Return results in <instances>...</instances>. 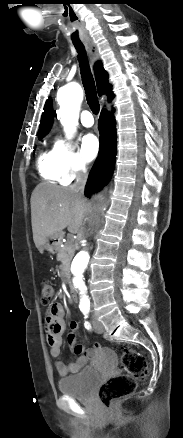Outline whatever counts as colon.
Masks as SVG:
<instances>
[{"label": "colon", "instance_id": "5ec220e1", "mask_svg": "<svg viewBox=\"0 0 183 438\" xmlns=\"http://www.w3.org/2000/svg\"><path fill=\"white\" fill-rule=\"evenodd\" d=\"M54 295V287L48 280L41 283V303L49 305ZM121 366L124 373L104 381L99 390V399L104 407L112 408L119 400L131 395L137 382L148 375L146 358L136 352L130 345H123L120 354Z\"/></svg>", "mask_w": 183, "mask_h": 438}]
</instances>
